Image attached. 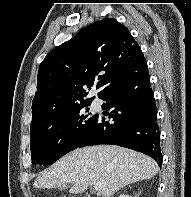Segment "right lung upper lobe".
Returning a JSON list of instances; mask_svg holds the SVG:
<instances>
[{"label":"right lung upper lobe","mask_w":191,"mask_h":197,"mask_svg":"<svg viewBox=\"0 0 191 197\" xmlns=\"http://www.w3.org/2000/svg\"><path fill=\"white\" fill-rule=\"evenodd\" d=\"M147 65L128 29L105 18L83 28L51 50L39 66L32 102L31 128L84 100L97 83L99 97L107 88Z\"/></svg>","instance_id":"obj_1"}]
</instances>
